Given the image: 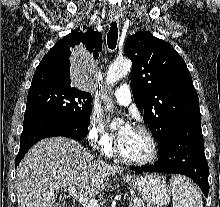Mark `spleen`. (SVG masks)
Listing matches in <instances>:
<instances>
[{
	"label": "spleen",
	"mask_w": 220,
	"mask_h": 207,
	"mask_svg": "<svg viewBox=\"0 0 220 207\" xmlns=\"http://www.w3.org/2000/svg\"><path fill=\"white\" fill-rule=\"evenodd\" d=\"M173 207H203L202 196L193 183L182 176H173L170 180Z\"/></svg>",
	"instance_id": "spleen-1"
}]
</instances>
